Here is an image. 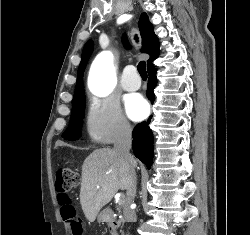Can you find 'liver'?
Masks as SVG:
<instances>
[{"instance_id": "obj_1", "label": "liver", "mask_w": 250, "mask_h": 235, "mask_svg": "<svg viewBox=\"0 0 250 235\" xmlns=\"http://www.w3.org/2000/svg\"><path fill=\"white\" fill-rule=\"evenodd\" d=\"M136 165L134 160L133 170ZM131 177L130 169L114 149L93 151L82 166L80 203L86 218L94 222L101 208L112 200L119 189H128Z\"/></svg>"}]
</instances>
